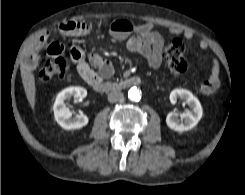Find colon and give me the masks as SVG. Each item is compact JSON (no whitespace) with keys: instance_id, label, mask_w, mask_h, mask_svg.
<instances>
[{"instance_id":"5ec220e1","label":"colon","mask_w":245,"mask_h":195,"mask_svg":"<svg viewBox=\"0 0 245 195\" xmlns=\"http://www.w3.org/2000/svg\"><path fill=\"white\" fill-rule=\"evenodd\" d=\"M184 50V43L180 39H174L166 46L164 56L168 70L172 74L179 75L186 71ZM67 70L68 64L63 57L51 56L41 60L39 76L42 81L50 82L64 78Z\"/></svg>"}]
</instances>
